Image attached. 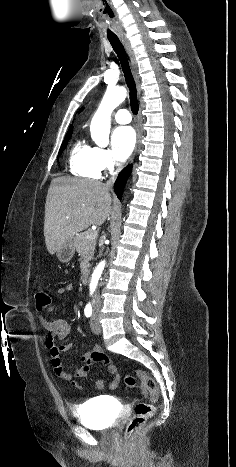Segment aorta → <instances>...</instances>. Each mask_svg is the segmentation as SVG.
<instances>
[{
  "instance_id": "aorta-1",
  "label": "aorta",
  "mask_w": 236,
  "mask_h": 467,
  "mask_svg": "<svg viewBox=\"0 0 236 467\" xmlns=\"http://www.w3.org/2000/svg\"><path fill=\"white\" fill-rule=\"evenodd\" d=\"M126 96L125 87L107 88L90 125L91 138L97 145L105 146L107 144L111 127V114L125 100ZM104 267L105 261H101L94 269L89 285L90 294L95 291Z\"/></svg>"
}]
</instances>
